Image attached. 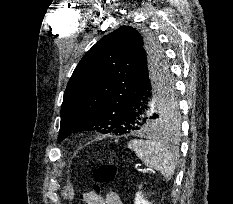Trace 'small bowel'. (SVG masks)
Segmentation results:
<instances>
[{
  "mask_svg": "<svg viewBox=\"0 0 233 204\" xmlns=\"http://www.w3.org/2000/svg\"><path fill=\"white\" fill-rule=\"evenodd\" d=\"M85 204H123L120 196L113 191L101 196L95 192H86L82 195Z\"/></svg>",
  "mask_w": 233,
  "mask_h": 204,
  "instance_id": "1",
  "label": "small bowel"
}]
</instances>
